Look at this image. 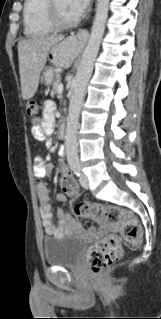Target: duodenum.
Returning <instances> with one entry per match:
<instances>
[{
  "label": "duodenum",
  "instance_id": "duodenum-1",
  "mask_svg": "<svg viewBox=\"0 0 161 319\" xmlns=\"http://www.w3.org/2000/svg\"><path fill=\"white\" fill-rule=\"evenodd\" d=\"M66 135V127L62 126L60 129V136H65Z\"/></svg>",
  "mask_w": 161,
  "mask_h": 319
}]
</instances>
